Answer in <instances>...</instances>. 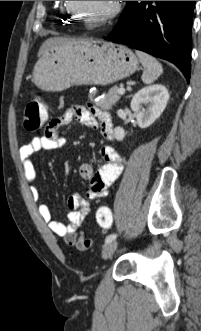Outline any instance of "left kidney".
<instances>
[{"label":"left kidney","instance_id":"left-kidney-1","mask_svg":"<svg viewBox=\"0 0 201 331\" xmlns=\"http://www.w3.org/2000/svg\"><path fill=\"white\" fill-rule=\"evenodd\" d=\"M168 100V90L162 84H154L138 91L130 104L138 126L147 128L152 125L166 108ZM114 135L118 141H122L125 137V131L121 127H116Z\"/></svg>","mask_w":201,"mask_h":331}]
</instances>
